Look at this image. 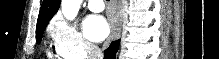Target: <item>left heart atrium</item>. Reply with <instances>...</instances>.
Wrapping results in <instances>:
<instances>
[{"instance_id": "left-heart-atrium-1", "label": "left heart atrium", "mask_w": 219, "mask_h": 59, "mask_svg": "<svg viewBox=\"0 0 219 59\" xmlns=\"http://www.w3.org/2000/svg\"><path fill=\"white\" fill-rule=\"evenodd\" d=\"M83 30L89 40L100 42L107 37L109 25L103 16L91 14L84 19Z\"/></svg>"}]
</instances>
